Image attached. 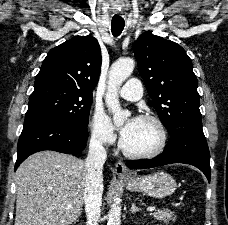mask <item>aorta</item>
Instances as JSON below:
<instances>
[{
	"instance_id": "762f6f07",
	"label": "aorta",
	"mask_w": 228,
	"mask_h": 225,
	"mask_svg": "<svg viewBox=\"0 0 228 225\" xmlns=\"http://www.w3.org/2000/svg\"><path fill=\"white\" fill-rule=\"evenodd\" d=\"M134 66L133 58H119L110 66L105 102L111 113H113V123L116 127L123 125L127 117L131 115L129 110H121L118 90L124 80L133 72ZM107 217V225H121V209L119 205L111 207Z\"/></svg>"
}]
</instances>
